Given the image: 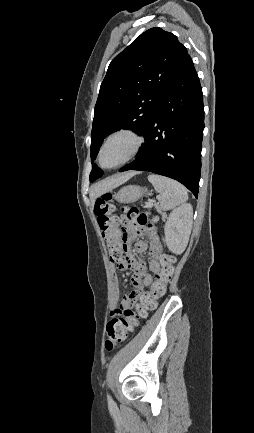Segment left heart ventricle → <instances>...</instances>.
<instances>
[{
	"mask_svg": "<svg viewBox=\"0 0 254 433\" xmlns=\"http://www.w3.org/2000/svg\"><path fill=\"white\" fill-rule=\"evenodd\" d=\"M134 141L128 136H117L111 139L102 153V164L110 167L118 164L131 152Z\"/></svg>",
	"mask_w": 254,
	"mask_h": 433,
	"instance_id": "1",
	"label": "left heart ventricle"
}]
</instances>
